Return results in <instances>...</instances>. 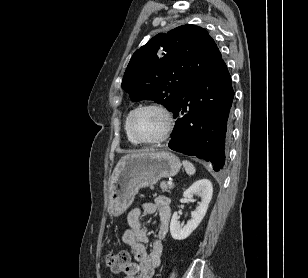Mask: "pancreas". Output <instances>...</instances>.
Masks as SVG:
<instances>
[{
	"label": "pancreas",
	"instance_id": "1",
	"mask_svg": "<svg viewBox=\"0 0 308 278\" xmlns=\"http://www.w3.org/2000/svg\"><path fill=\"white\" fill-rule=\"evenodd\" d=\"M160 188L162 189V192H170L174 188L173 185H168L165 181H162L160 183Z\"/></svg>",
	"mask_w": 308,
	"mask_h": 278
}]
</instances>
